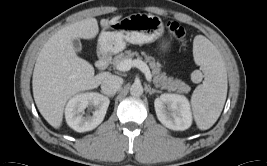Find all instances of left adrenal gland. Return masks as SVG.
<instances>
[{"label": "left adrenal gland", "mask_w": 267, "mask_h": 166, "mask_svg": "<svg viewBox=\"0 0 267 166\" xmlns=\"http://www.w3.org/2000/svg\"><path fill=\"white\" fill-rule=\"evenodd\" d=\"M146 92H148L150 95L153 94V93H160L161 91L159 90H156L154 88H151L150 86L149 87H146Z\"/></svg>", "instance_id": "left-adrenal-gland-1"}]
</instances>
